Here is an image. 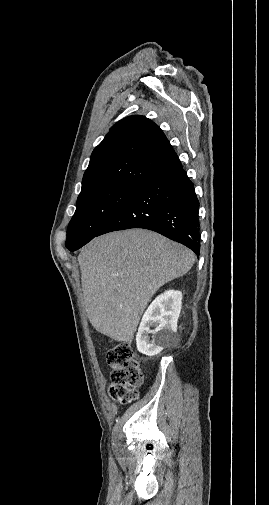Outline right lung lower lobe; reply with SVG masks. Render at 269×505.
<instances>
[{
    "mask_svg": "<svg viewBox=\"0 0 269 505\" xmlns=\"http://www.w3.org/2000/svg\"><path fill=\"white\" fill-rule=\"evenodd\" d=\"M199 200L181 162L140 186L97 235L129 228L158 232L200 252Z\"/></svg>",
    "mask_w": 269,
    "mask_h": 505,
    "instance_id": "obj_1",
    "label": "right lung lower lobe"
}]
</instances>
